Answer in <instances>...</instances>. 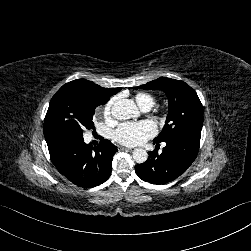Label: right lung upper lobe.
<instances>
[{
	"label": "right lung upper lobe",
	"mask_w": 251,
	"mask_h": 251,
	"mask_svg": "<svg viewBox=\"0 0 251 251\" xmlns=\"http://www.w3.org/2000/svg\"><path fill=\"white\" fill-rule=\"evenodd\" d=\"M63 87H69L82 92L84 100L96 107L104 105L112 95L121 90V88H102L101 86L86 79L73 80L63 85Z\"/></svg>",
	"instance_id": "right-lung-upper-lobe-1"
}]
</instances>
